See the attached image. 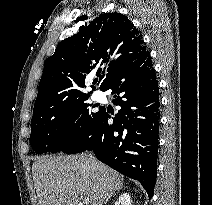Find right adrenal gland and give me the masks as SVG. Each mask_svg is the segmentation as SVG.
Wrapping results in <instances>:
<instances>
[{"mask_svg": "<svg viewBox=\"0 0 212 205\" xmlns=\"http://www.w3.org/2000/svg\"><path fill=\"white\" fill-rule=\"evenodd\" d=\"M119 189H120V188H119ZM116 190H118V189H116ZM116 190H114V191L106 198L105 203H107L108 200L112 197V195L115 194V191H116Z\"/></svg>", "mask_w": 212, "mask_h": 205, "instance_id": "right-adrenal-gland-1", "label": "right adrenal gland"}]
</instances>
